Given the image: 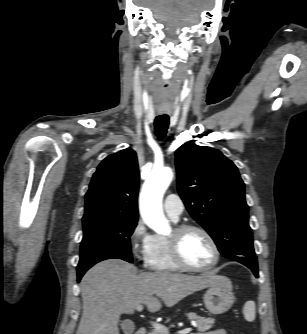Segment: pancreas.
<instances>
[{"instance_id":"cf45deb5","label":"pancreas","mask_w":307,"mask_h":334,"mask_svg":"<svg viewBox=\"0 0 307 334\" xmlns=\"http://www.w3.org/2000/svg\"><path fill=\"white\" fill-rule=\"evenodd\" d=\"M186 316L190 320H194L196 322L197 330L199 331V333H195V334H203L201 332H204V331H207V330L211 329L213 324L215 323L214 318L201 317V316L196 315L195 313H187ZM148 334H165V333L157 331V330H152Z\"/></svg>"}]
</instances>
